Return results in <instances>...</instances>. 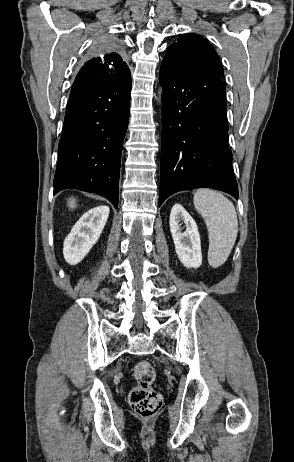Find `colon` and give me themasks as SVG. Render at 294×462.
<instances>
[{
  "instance_id": "1",
  "label": "colon",
  "mask_w": 294,
  "mask_h": 462,
  "mask_svg": "<svg viewBox=\"0 0 294 462\" xmlns=\"http://www.w3.org/2000/svg\"><path fill=\"white\" fill-rule=\"evenodd\" d=\"M134 377L137 385L129 393V403L139 416L152 417L163 403L161 394L152 388L156 371L150 362L140 361L134 368Z\"/></svg>"
}]
</instances>
